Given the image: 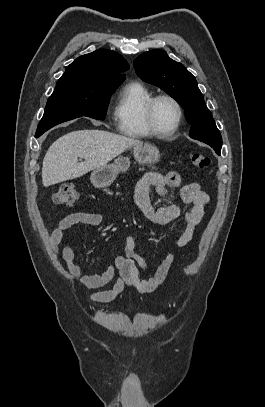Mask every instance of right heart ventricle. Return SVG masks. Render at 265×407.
<instances>
[{"mask_svg":"<svg viewBox=\"0 0 265 407\" xmlns=\"http://www.w3.org/2000/svg\"><path fill=\"white\" fill-rule=\"evenodd\" d=\"M153 97V92L141 82H130L122 88L113 112L121 134L132 138L153 136L145 119L146 106Z\"/></svg>","mask_w":265,"mask_h":407,"instance_id":"right-heart-ventricle-1","label":"right heart ventricle"}]
</instances>
